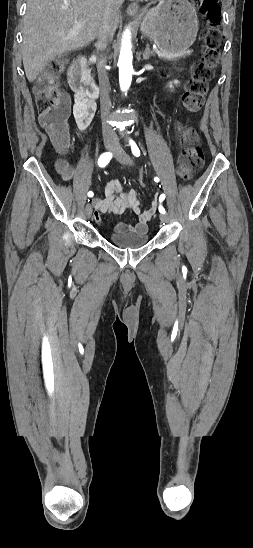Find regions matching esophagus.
Listing matches in <instances>:
<instances>
[{"mask_svg":"<svg viewBox=\"0 0 253 548\" xmlns=\"http://www.w3.org/2000/svg\"><path fill=\"white\" fill-rule=\"evenodd\" d=\"M139 7L136 3H131L127 7V13L131 16H135L138 13Z\"/></svg>","mask_w":253,"mask_h":548,"instance_id":"esophagus-1","label":"esophagus"}]
</instances>
